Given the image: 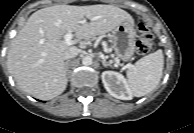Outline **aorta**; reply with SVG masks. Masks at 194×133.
I'll return each mask as SVG.
<instances>
[{"mask_svg":"<svg viewBox=\"0 0 194 133\" xmlns=\"http://www.w3.org/2000/svg\"><path fill=\"white\" fill-rule=\"evenodd\" d=\"M82 64L85 66H89L92 64V58L90 56H84L82 58Z\"/></svg>","mask_w":194,"mask_h":133,"instance_id":"762f6f07","label":"aorta"}]
</instances>
